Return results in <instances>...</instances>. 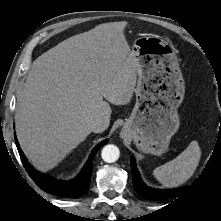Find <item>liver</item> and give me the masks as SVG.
Masks as SVG:
<instances>
[{
  "instance_id": "liver-1",
  "label": "liver",
  "mask_w": 221,
  "mask_h": 221,
  "mask_svg": "<svg viewBox=\"0 0 221 221\" xmlns=\"http://www.w3.org/2000/svg\"><path fill=\"white\" fill-rule=\"evenodd\" d=\"M126 26L125 21L100 24L32 63L15 122L20 146L38 169L61 162L92 132V121L109 123V103L130 102L138 63L124 35Z\"/></svg>"
}]
</instances>
